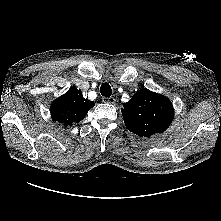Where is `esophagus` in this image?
Instances as JSON below:
<instances>
[{
  "mask_svg": "<svg viewBox=\"0 0 221 221\" xmlns=\"http://www.w3.org/2000/svg\"><path fill=\"white\" fill-rule=\"evenodd\" d=\"M102 102L108 104H114L116 102V99L114 97H103Z\"/></svg>",
  "mask_w": 221,
  "mask_h": 221,
  "instance_id": "obj_1",
  "label": "esophagus"
}]
</instances>
